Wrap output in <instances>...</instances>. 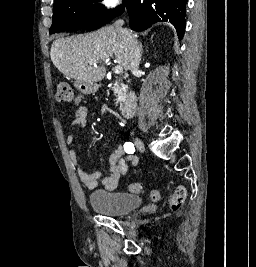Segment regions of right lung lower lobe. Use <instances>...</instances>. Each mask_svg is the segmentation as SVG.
I'll return each mask as SVG.
<instances>
[{
	"label": "right lung lower lobe",
	"mask_w": 256,
	"mask_h": 267,
	"mask_svg": "<svg viewBox=\"0 0 256 267\" xmlns=\"http://www.w3.org/2000/svg\"><path fill=\"white\" fill-rule=\"evenodd\" d=\"M188 0H130L127 11L130 28L144 31L157 22H170L174 25L181 40L185 31L186 3Z\"/></svg>",
	"instance_id": "right-lung-lower-lobe-1"
}]
</instances>
